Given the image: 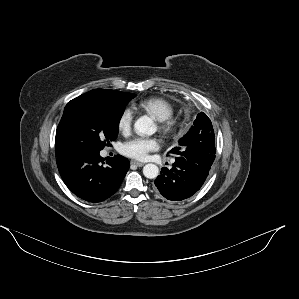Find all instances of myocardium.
Instances as JSON below:
<instances>
[{"instance_id": "1", "label": "myocardium", "mask_w": 299, "mask_h": 299, "mask_svg": "<svg viewBox=\"0 0 299 299\" xmlns=\"http://www.w3.org/2000/svg\"><path fill=\"white\" fill-rule=\"evenodd\" d=\"M160 125V130L163 132L165 135H172L175 132V122L169 118L164 121H159Z\"/></svg>"}]
</instances>
